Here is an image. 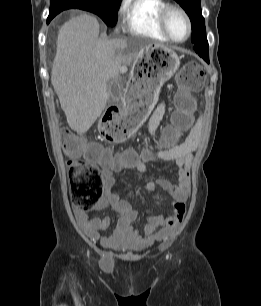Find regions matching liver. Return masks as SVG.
<instances>
[{
  "instance_id": "liver-1",
  "label": "liver",
  "mask_w": 261,
  "mask_h": 306,
  "mask_svg": "<svg viewBox=\"0 0 261 306\" xmlns=\"http://www.w3.org/2000/svg\"><path fill=\"white\" fill-rule=\"evenodd\" d=\"M133 45L127 39H100L97 19L87 14L71 18L59 29L51 82L72 130H89L110 97L108 81L118 80L121 65L152 46L140 47L128 57L119 54Z\"/></svg>"
}]
</instances>
